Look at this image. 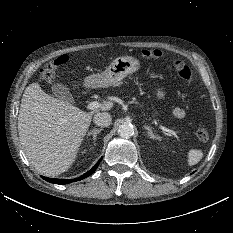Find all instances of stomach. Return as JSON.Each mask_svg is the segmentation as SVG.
I'll list each match as a JSON object with an SVG mask.
<instances>
[{"label":"stomach","instance_id":"0dacf381","mask_svg":"<svg viewBox=\"0 0 233 233\" xmlns=\"http://www.w3.org/2000/svg\"><path fill=\"white\" fill-rule=\"evenodd\" d=\"M140 68V62L132 56L118 57L111 62L105 71L98 74H93L85 79L87 87H109L121 82L127 75L136 72ZM156 96L158 99L165 97V92L162 88L157 90Z\"/></svg>","mask_w":233,"mask_h":233}]
</instances>
